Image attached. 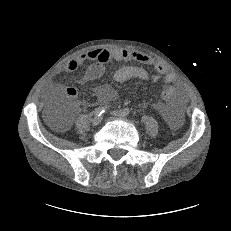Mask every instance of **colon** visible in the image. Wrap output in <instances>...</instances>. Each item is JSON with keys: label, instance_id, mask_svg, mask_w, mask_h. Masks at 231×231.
Listing matches in <instances>:
<instances>
[{"label": "colon", "instance_id": "obj_1", "mask_svg": "<svg viewBox=\"0 0 231 231\" xmlns=\"http://www.w3.org/2000/svg\"><path fill=\"white\" fill-rule=\"evenodd\" d=\"M162 96L166 101L174 102L179 98L180 91H179L176 84L167 83L163 87ZM50 114L53 118L60 117V118H63L65 121H67L69 119L68 113L65 112L64 110H58L57 111V110L51 108Z\"/></svg>", "mask_w": 231, "mask_h": 231}]
</instances>
